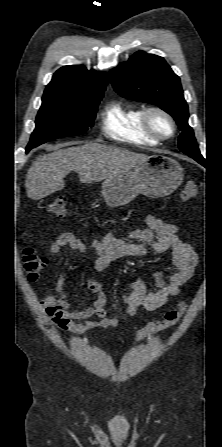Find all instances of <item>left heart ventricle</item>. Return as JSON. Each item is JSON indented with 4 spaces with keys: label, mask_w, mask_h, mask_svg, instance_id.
<instances>
[{
    "label": "left heart ventricle",
    "mask_w": 222,
    "mask_h": 447,
    "mask_svg": "<svg viewBox=\"0 0 222 447\" xmlns=\"http://www.w3.org/2000/svg\"><path fill=\"white\" fill-rule=\"evenodd\" d=\"M152 125L156 131L163 135H167L171 131V126L169 122L160 115H154L152 117Z\"/></svg>",
    "instance_id": "b2bd125f"
}]
</instances>
